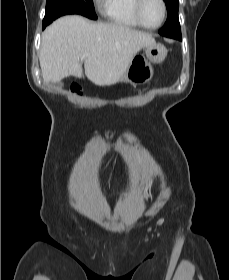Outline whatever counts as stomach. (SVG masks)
I'll list each match as a JSON object with an SVG mask.
<instances>
[{
    "label": "stomach",
    "mask_w": 229,
    "mask_h": 280,
    "mask_svg": "<svg viewBox=\"0 0 229 280\" xmlns=\"http://www.w3.org/2000/svg\"><path fill=\"white\" fill-rule=\"evenodd\" d=\"M144 51L145 55L133 57L121 82L135 84L149 81L154 72L152 64L161 63L167 55L166 47L156 43L145 46Z\"/></svg>",
    "instance_id": "1"
}]
</instances>
